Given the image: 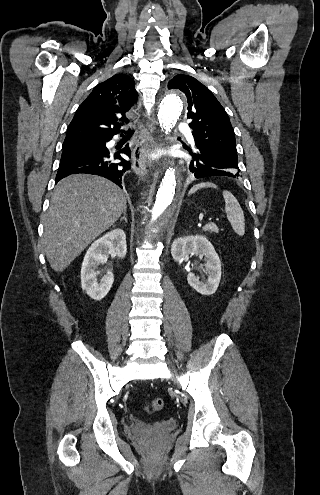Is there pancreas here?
Returning a JSON list of instances; mask_svg holds the SVG:
<instances>
[{"label": "pancreas", "instance_id": "obj_1", "mask_svg": "<svg viewBox=\"0 0 320 495\" xmlns=\"http://www.w3.org/2000/svg\"><path fill=\"white\" fill-rule=\"evenodd\" d=\"M203 230L204 231H209L211 233H218V230L219 229H218V227L214 223L211 222V223H208L207 225H205L203 227Z\"/></svg>", "mask_w": 320, "mask_h": 495}]
</instances>
